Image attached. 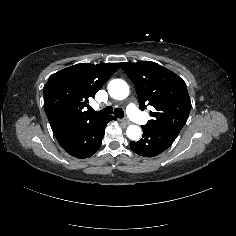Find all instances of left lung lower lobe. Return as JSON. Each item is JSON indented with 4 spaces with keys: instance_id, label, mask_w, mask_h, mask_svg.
<instances>
[{
    "instance_id": "left-lung-lower-lobe-1",
    "label": "left lung lower lobe",
    "mask_w": 236,
    "mask_h": 236,
    "mask_svg": "<svg viewBox=\"0 0 236 236\" xmlns=\"http://www.w3.org/2000/svg\"><path fill=\"white\" fill-rule=\"evenodd\" d=\"M143 138L138 142H130L131 149L138 155L154 157L165 151L176 139L178 132L165 129H154L142 126Z\"/></svg>"
}]
</instances>
